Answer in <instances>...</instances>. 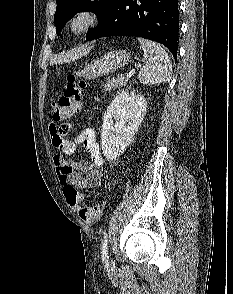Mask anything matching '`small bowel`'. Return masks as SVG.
I'll return each mask as SVG.
<instances>
[{
    "instance_id": "c3829d8e",
    "label": "small bowel",
    "mask_w": 233,
    "mask_h": 294,
    "mask_svg": "<svg viewBox=\"0 0 233 294\" xmlns=\"http://www.w3.org/2000/svg\"><path fill=\"white\" fill-rule=\"evenodd\" d=\"M61 128L63 131H71L72 123L64 120ZM49 132L52 145L61 153L54 156L53 162L63 188L72 186L75 189H89L99 186L103 177V157L94 130L84 128L75 140L65 138L62 130L53 124ZM77 144L83 145L90 156L89 160L75 161L64 157L72 154Z\"/></svg>"
}]
</instances>
